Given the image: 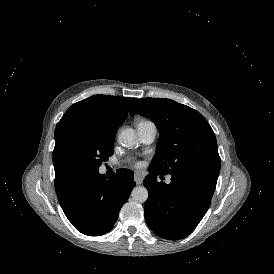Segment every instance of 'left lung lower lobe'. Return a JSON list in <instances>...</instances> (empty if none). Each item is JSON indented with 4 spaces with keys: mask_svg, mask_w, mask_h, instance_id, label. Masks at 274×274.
Instances as JSON below:
<instances>
[{
    "mask_svg": "<svg viewBox=\"0 0 274 274\" xmlns=\"http://www.w3.org/2000/svg\"><path fill=\"white\" fill-rule=\"evenodd\" d=\"M144 179L149 198L144 204L145 220L158 236L178 240L189 235L207 212L217 176L197 172L172 173L171 183L157 181L164 175L149 166Z\"/></svg>",
    "mask_w": 274,
    "mask_h": 274,
    "instance_id": "1",
    "label": "left lung lower lobe"
}]
</instances>
